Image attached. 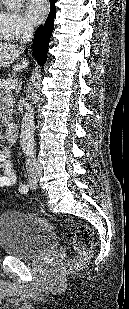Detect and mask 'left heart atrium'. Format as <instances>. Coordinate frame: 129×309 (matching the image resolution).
<instances>
[{
  "instance_id": "left-heart-atrium-1",
  "label": "left heart atrium",
  "mask_w": 129,
  "mask_h": 309,
  "mask_svg": "<svg viewBox=\"0 0 129 309\" xmlns=\"http://www.w3.org/2000/svg\"><path fill=\"white\" fill-rule=\"evenodd\" d=\"M26 15L33 24L40 23L48 12L46 0H27L25 5Z\"/></svg>"
}]
</instances>
